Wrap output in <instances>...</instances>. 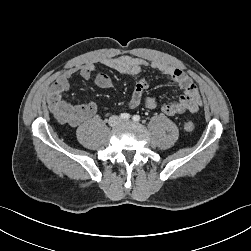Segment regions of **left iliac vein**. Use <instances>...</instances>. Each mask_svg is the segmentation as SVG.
<instances>
[{"mask_svg":"<svg viewBox=\"0 0 251 251\" xmlns=\"http://www.w3.org/2000/svg\"><path fill=\"white\" fill-rule=\"evenodd\" d=\"M123 123H127L128 122V120H124V121H122Z\"/></svg>","mask_w":251,"mask_h":251,"instance_id":"1","label":"left iliac vein"}]
</instances>
